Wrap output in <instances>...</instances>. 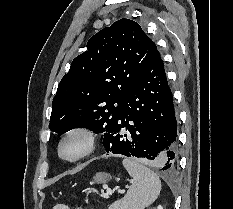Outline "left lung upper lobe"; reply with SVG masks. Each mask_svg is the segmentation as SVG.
<instances>
[{
	"instance_id": "5c2ea615",
	"label": "left lung upper lobe",
	"mask_w": 233,
	"mask_h": 209,
	"mask_svg": "<svg viewBox=\"0 0 233 209\" xmlns=\"http://www.w3.org/2000/svg\"><path fill=\"white\" fill-rule=\"evenodd\" d=\"M58 85L50 130L77 127L102 133L125 109L133 84L158 52L138 23L120 19L92 36Z\"/></svg>"
}]
</instances>
